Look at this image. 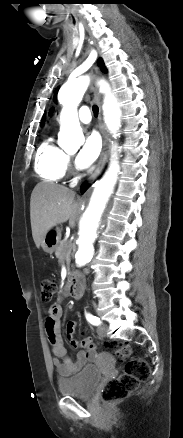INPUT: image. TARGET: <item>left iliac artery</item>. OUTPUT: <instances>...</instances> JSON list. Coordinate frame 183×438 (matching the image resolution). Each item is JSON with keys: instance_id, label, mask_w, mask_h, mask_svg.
Segmentation results:
<instances>
[{"instance_id": "obj_1", "label": "left iliac artery", "mask_w": 183, "mask_h": 438, "mask_svg": "<svg viewBox=\"0 0 183 438\" xmlns=\"http://www.w3.org/2000/svg\"><path fill=\"white\" fill-rule=\"evenodd\" d=\"M86 318L94 326H98V325L101 324V321H100V319L98 317L93 316V315H91L89 313H86Z\"/></svg>"}]
</instances>
